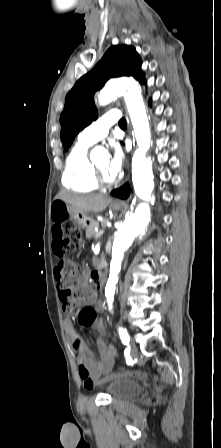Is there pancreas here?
I'll return each instance as SVG.
<instances>
[{
    "mask_svg": "<svg viewBox=\"0 0 221 448\" xmlns=\"http://www.w3.org/2000/svg\"><path fill=\"white\" fill-rule=\"evenodd\" d=\"M106 220L108 221V219H106ZM94 226H95V224L92 223V224L86 229V237H87L88 239H91L92 237H93V238H97V236H96V233H97V232L94 231ZM102 226H105V224L102 223Z\"/></svg>",
    "mask_w": 221,
    "mask_h": 448,
    "instance_id": "pancreas-1",
    "label": "pancreas"
}]
</instances>
